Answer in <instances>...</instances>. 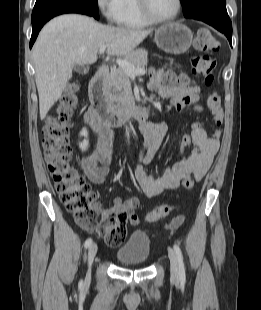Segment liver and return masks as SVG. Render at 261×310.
Segmentation results:
<instances>
[{"label": "liver", "instance_id": "liver-1", "mask_svg": "<svg viewBox=\"0 0 261 310\" xmlns=\"http://www.w3.org/2000/svg\"><path fill=\"white\" fill-rule=\"evenodd\" d=\"M150 33V30L102 25L78 14L61 15L49 21L33 47L40 118L43 120L61 98L75 64L95 63L103 44L107 45V55L125 56Z\"/></svg>", "mask_w": 261, "mask_h": 310}]
</instances>
